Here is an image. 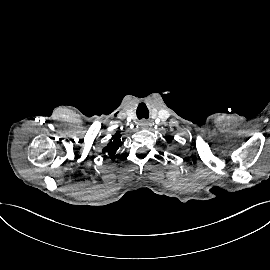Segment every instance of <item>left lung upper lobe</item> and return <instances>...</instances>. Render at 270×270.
<instances>
[{
	"instance_id": "5c2ea615",
	"label": "left lung upper lobe",
	"mask_w": 270,
	"mask_h": 270,
	"mask_svg": "<svg viewBox=\"0 0 270 270\" xmlns=\"http://www.w3.org/2000/svg\"><path fill=\"white\" fill-rule=\"evenodd\" d=\"M167 142H171V138L170 137H167Z\"/></svg>"
}]
</instances>
